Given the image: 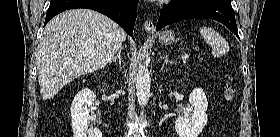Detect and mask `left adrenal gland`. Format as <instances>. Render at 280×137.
<instances>
[{"instance_id": "a2214340", "label": "left adrenal gland", "mask_w": 280, "mask_h": 137, "mask_svg": "<svg viewBox=\"0 0 280 137\" xmlns=\"http://www.w3.org/2000/svg\"><path fill=\"white\" fill-rule=\"evenodd\" d=\"M168 57H169L168 54H166L165 56L161 57L163 59L162 69H163L165 64H167V63H174V61L170 60Z\"/></svg>"}]
</instances>
